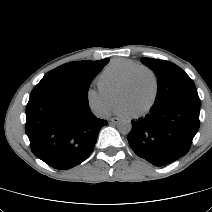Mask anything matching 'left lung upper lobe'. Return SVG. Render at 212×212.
Segmentation results:
<instances>
[{
	"label": "left lung upper lobe",
	"instance_id": "5c2ea615",
	"mask_svg": "<svg viewBox=\"0 0 212 212\" xmlns=\"http://www.w3.org/2000/svg\"><path fill=\"white\" fill-rule=\"evenodd\" d=\"M141 61L157 76L158 89L155 105L184 101L200 106L194 82L180 67L168 61L152 58H142Z\"/></svg>",
	"mask_w": 212,
	"mask_h": 212
}]
</instances>
